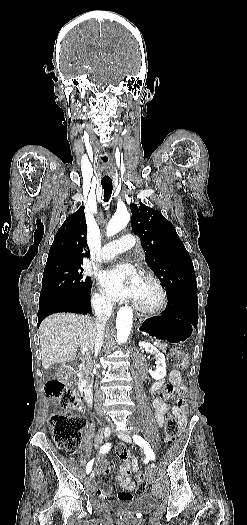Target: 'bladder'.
Instances as JSON below:
<instances>
[{
    "instance_id": "obj_1",
    "label": "bladder",
    "mask_w": 247,
    "mask_h": 525,
    "mask_svg": "<svg viewBox=\"0 0 247 525\" xmlns=\"http://www.w3.org/2000/svg\"><path fill=\"white\" fill-rule=\"evenodd\" d=\"M156 497L147 492L134 498H119L111 502L110 512L121 518L146 515L156 505Z\"/></svg>"
}]
</instances>
